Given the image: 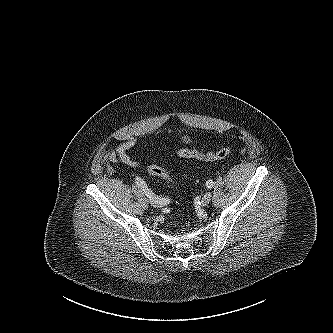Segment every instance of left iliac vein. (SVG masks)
Segmentation results:
<instances>
[{
    "label": "left iliac vein",
    "instance_id": "4c4485c4",
    "mask_svg": "<svg viewBox=\"0 0 333 333\" xmlns=\"http://www.w3.org/2000/svg\"><path fill=\"white\" fill-rule=\"evenodd\" d=\"M211 200V193H206L201 199V205L207 206Z\"/></svg>",
    "mask_w": 333,
    "mask_h": 333
}]
</instances>
